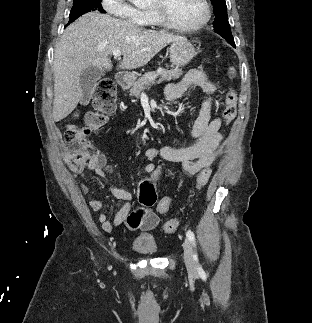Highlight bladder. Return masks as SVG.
Segmentation results:
<instances>
[{"label": "bladder", "instance_id": "1", "mask_svg": "<svg viewBox=\"0 0 312 323\" xmlns=\"http://www.w3.org/2000/svg\"><path fill=\"white\" fill-rule=\"evenodd\" d=\"M132 248L142 254H153L156 252V241L153 234L137 235L133 238Z\"/></svg>", "mask_w": 312, "mask_h": 323}]
</instances>
